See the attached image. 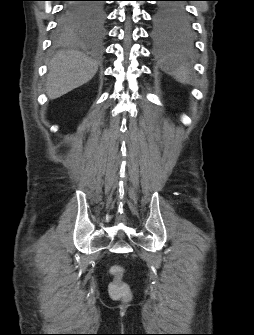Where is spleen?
I'll list each match as a JSON object with an SVG mask.
<instances>
[{"label": "spleen", "instance_id": "3e777b00", "mask_svg": "<svg viewBox=\"0 0 254 335\" xmlns=\"http://www.w3.org/2000/svg\"><path fill=\"white\" fill-rule=\"evenodd\" d=\"M162 68L182 84H189L191 81L189 69L186 66L179 64L175 54H170L165 58Z\"/></svg>", "mask_w": 254, "mask_h": 335}]
</instances>
